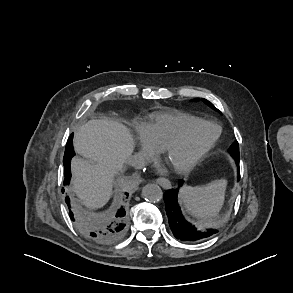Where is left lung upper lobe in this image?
Instances as JSON below:
<instances>
[{"label": "left lung upper lobe", "instance_id": "obj_1", "mask_svg": "<svg viewBox=\"0 0 293 293\" xmlns=\"http://www.w3.org/2000/svg\"><path fill=\"white\" fill-rule=\"evenodd\" d=\"M204 102L207 103L211 108L217 110V109L215 108V106H214L211 102H209V101H207V100H204ZM229 153L233 156V158H234L235 160H239V144H238L237 141H235V142L230 146V148H229Z\"/></svg>", "mask_w": 293, "mask_h": 293}]
</instances>
